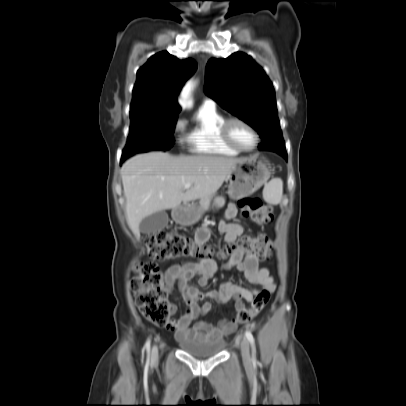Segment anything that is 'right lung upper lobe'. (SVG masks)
<instances>
[{
    "mask_svg": "<svg viewBox=\"0 0 406 406\" xmlns=\"http://www.w3.org/2000/svg\"><path fill=\"white\" fill-rule=\"evenodd\" d=\"M196 68L193 59L179 60L167 51L150 57L137 72L130 113L177 116V96Z\"/></svg>",
    "mask_w": 406,
    "mask_h": 406,
    "instance_id": "obj_1",
    "label": "right lung upper lobe"
}]
</instances>
